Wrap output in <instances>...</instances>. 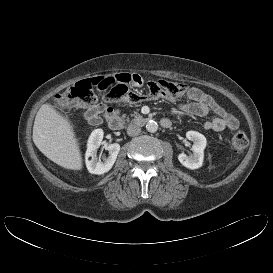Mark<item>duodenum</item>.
<instances>
[{
    "label": "duodenum",
    "instance_id": "410a0bca",
    "mask_svg": "<svg viewBox=\"0 0 273 273\" xmlns=\"http://www.w3.org/2000/svg\"><path fill=\"white\" fill-rule=\"evenodd\" d=\"M106 118H107V122L110 129L116 130V131L122 129L124 122L118 115L109 114L106 116ZM131 122L138 126H146L150 122V118L146 115H140V116L133 117L131 119ZM161 125L164 128H168L170 127L171 122L170 120L163 119L161 120Z\"/></svg>",
    "mask_w": 273,
    "mask_h": 273
}]
</instances>
